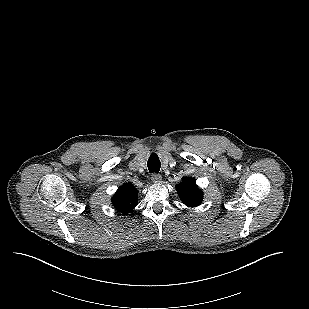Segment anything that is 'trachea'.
<instances>
[{
  "label": "trachea",
  "instance_id": "trachea-1",
  "mask_svg": "<svg viewBox=\"0 0 309 309\" xmlns=\"http://www.w3.org/2000/svg\"><path fill=\"white\" fill-rule=\"evenodd\" d=\"M148 170L151 173H158L160 171L161 163L157 154L153 153L150 155L147 162Z\"/></svg>",
  "mask_w": 309,
  "mask_h": 309
}]
</instances>
